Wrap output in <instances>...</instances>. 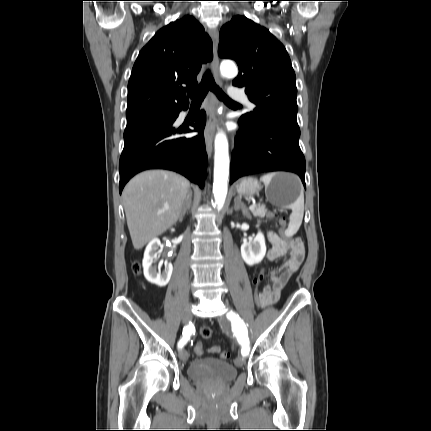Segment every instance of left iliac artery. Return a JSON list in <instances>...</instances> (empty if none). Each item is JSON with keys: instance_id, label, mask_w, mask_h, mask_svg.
<instances>
[{"instance_id": "obj_1", "label": "left iliac artery", "mask_w": 431, "mask_h": 431, "mask_svg": "<svg viewBox=\"0 0 431 431\" xmlns=\"http://www.w3.org/2000/svg\"><path fill=\"white\" fill-rule=\"evenodd\" d=\"M227 317L232 321V324L237 326L240 331V335L237 337L239 343L242 345L241 353L243 356H247L249 354L250 346H249V338L247 335V328L244 321L239 317L238 314L231 311L227 314Z\"/></svg>"}]
</instances>
